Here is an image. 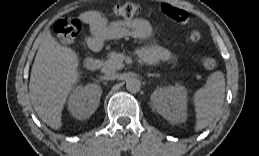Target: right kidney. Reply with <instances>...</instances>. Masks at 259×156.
Instances as JSON below:
<instances>
[{
  "label": "right kidney",
  "mask_w": 259,
  "mask_h": 156,
  "mask_svg": "<svg viewBox=\"0 0 259 156\" xmlns=\"http://www.w3.org/2000/svg\"><path fill=\"white\" fill-rule=\"evenodd\" d=\"M102 89L97 84L78 85L68 101V110L79 120L89 118L98 108Z\"/></svg>",
  "instance_id": "ca27d5eb"
}]
</instances>
